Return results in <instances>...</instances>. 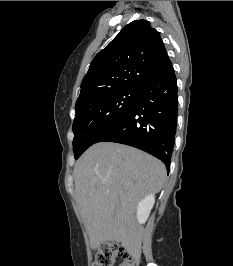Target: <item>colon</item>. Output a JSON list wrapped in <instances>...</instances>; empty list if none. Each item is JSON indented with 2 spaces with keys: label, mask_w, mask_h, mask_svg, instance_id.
<instances>
[{
  "label": "colon",
  "mask_w": 233,
  "mask_h": 266,
  "mask_svg": "<svg viewBox=\"0 0 233 266\" xmlns=\"http://www.w3.org/2000/svg\"><path fill=\"white\" fill-rule=\"evenodd\" d=\"M118 257L123 259L119 266H137V255L125 252L118 243L104 245L97 253L94 266H115Z\"/></svg>",
  "instance_id": "obj_1"
}]
</instances>
